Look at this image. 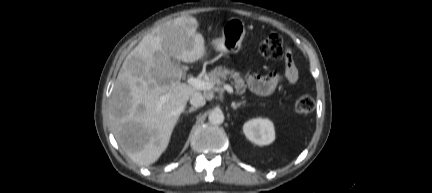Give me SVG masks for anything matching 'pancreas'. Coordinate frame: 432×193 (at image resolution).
Returning a JSON list of instances; mask_svg holds the SVG:
<instances>
[{
    "label": "pancreas",
    "mask_w": 432,
    "mask_h": 193,
    "mask_svg": "<svg viewBox=\"0 0 432 193\" xmlns=\"http://www.w3.org/2000/svg\"><path fill=\"white\" fill-rule=\"evenodd\" d=\"M211 82L217 85H223L226 80H231L237 94H242L246 90V84L240 77V74L235 70H229L228 68L218 66L208 73Z\"/></svg>",
    "instance_id": "cf45deb5"
}]
</instances>
